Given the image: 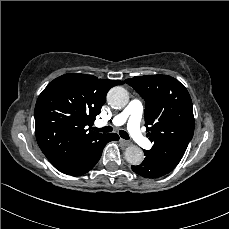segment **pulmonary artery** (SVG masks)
I'll return each mask as SVG.
<instances>
[{"instance_id": "1", "label": "pulmonary artery", "mask_w": 229, "mask_h": 229, "mask_svg": "<svg viewBox=\"0 0 229 229\" xmlns=\"http://www.w3.org/2000/svg\"><path fill=\"white\" fill-rule=\"evenodd\" d=\"M143 103L140 100H132L122 112L116 115L112 123L116 126L127 125L128 132L132 135L134 141L138 142L142 148H150L151 144L147 138L143 137L141 133V121L143 117ZM108 125L107 121L99 120L96 122L97 127H103Z\"/></svg>"}]
</instances>
